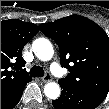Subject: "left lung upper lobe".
<instances>
[{
	"mask_svg": "<svg viewBox=\"0 0 109 109\" xmlns=\"http://www.w3.org/2000/svg\"><path fill=\"white\" fill-rule=\"evenodd\" d=\"M59 46L69 74L59 81L106 97L109 92V37L95 22L71 15L39 25Z\"/></svg>",
	"mask_w": 109,
	"mask_h": 109,
	"instance_id": "5c2ea615",
	"label": "left lung upper lobe"
}]
</instances>
